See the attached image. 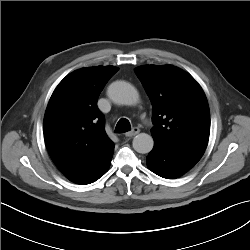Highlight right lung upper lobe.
Here are the masks:
<instances>
[{"instance_id":"right-lung-upper-lobe-1","label":"right lung upper lobe","mask_w":250,"mask_h":250,"mask_svg":"<svg viewBox=\"0 0 250 250\" xmlns=\"http://www.w3.org/2000/svg\"><path fill=\"white\" fill-rule=\"evenodd\" d=\"M114 66L82 68L65 77L54 90L44 116L48 153L65 175L73 174L114 144L107 137L97 99Z\"/></svg>"}]
</instances>
